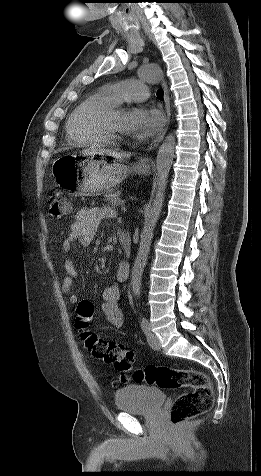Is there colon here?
<instances>
[{"label":"colon","mask_w":261,"mask_h":476,"mask_svg":"<svg viewBox=\"0 0 261 476\" xmlns=\"http://www.w3.org/2000/svg\"><path fill=\"white\" fill-rule=\"evenodd\" d=\"M49 214L55 219L66 217L72 212L70 201L60 190H54L48 197ZM94 308L88 301L78 304L75 325L81 341L87 350L107 364L124 373L120 381H128L126 373L131 371L135 355L133 351L115 342H108L89 329ZM137 382H145L162 389L190 388L179 395L171 405L170 420L180 425L191 418L207 412L213 405L214 392L207 375L196 369H176L167 366L148 365L134 372Z\"/></svg>","instance_id":"obj_1"}]
</instances>
